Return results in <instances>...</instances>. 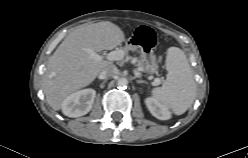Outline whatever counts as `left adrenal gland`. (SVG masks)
Returning <instances> with one entry per match:
<instances>
[{"mask_svg": "<svg viewBox=\"0 0 248 158\" xmlns=\"http://www.w3.org/2000/svg\"><path fill=\"white\" fill-rule=\"evenodd\" d=\"M136 82H137L138 84H140V83H147V82L144 81V80H136Z\"/></svg>", "mask_w": 248, "mask_h": 158, "instance_id": "a2214340", "label": "left adrenal gland"}]
</instances>
